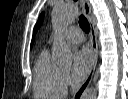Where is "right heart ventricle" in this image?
<instances>
[{"mask_svg":"<svg viewBox=\"0 0 128 99\" xmlns=\"http://www.w3.org/2000/svg\"><path fill=\"white\" fill-rule=\"evenodd\" d=\"M33 91L37 99H61L66 94L63 72L51 61L47 50L36 61Z\"/></svg>","mask_w":128,"mask_h":99,"instance_id":"obj_1","label":"right heart ventricle"}]
</instances>
